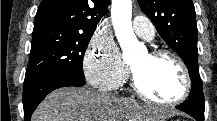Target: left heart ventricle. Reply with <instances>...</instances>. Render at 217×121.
<instances>
[{
    "mask_svg": "<svg viewBox=\"0 0 217 121\" xmlns=\"http://www.w3.org/2000/svg\"><path fill=\"white\" fill-rule=\"evenodd\" d=\"M130 67L142 88L156 99L171 100L182 89L180 70L170 58L153 59L148 54H143L130 62Z\"/></svg>",
    "mask_w": 217,
    "mask_h": 121,
    "instance_id": "b2bd125f",
    "label": "left heart ventricle"
}]
</instances>
